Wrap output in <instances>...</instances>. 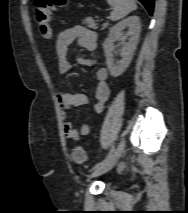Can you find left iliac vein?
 I'll return each instance as SVG.
<instances>
[{
	"label": "left iliac vein",
	"instance_id": "obj_1",
	"mask_svg": "<svg viewBox=\"0 0 188 213\" xmlns=\"http://www.w3.org/2000/svg\"><path fill=\"white\" fill-rule=\"evenodd\" d=\"M124 149H125V140L122 139L120 143L118 144L113 156L108 161H106L103 165L95 169L90 174L89 179L100 176L108 172L109 170H111L115 166V164L118 162L120 157L122 156Z\"/></svg>",
	"mask_w": 188,
	"mask_h": 213
}]
</instances>
